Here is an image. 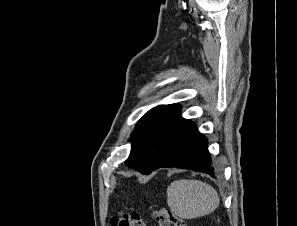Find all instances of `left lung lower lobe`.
<instances>
[{"label": "left lung lower lobe", "instance_id": "0a47b994", "mask_svg": "<svg viewBox=\"0 0 297 226\" xmlns=\"http://www.w3.org/2000/svg\"><path fill=\"white\" fill-rule=\"evenodd\" d=\"M207 147L206 137L197 130L195 124L186 120L153 170L175 167L198 171L215 177L216 170Z\"/></svg>", "mask_w": 297, "mask_h": 226}]
</instances>
